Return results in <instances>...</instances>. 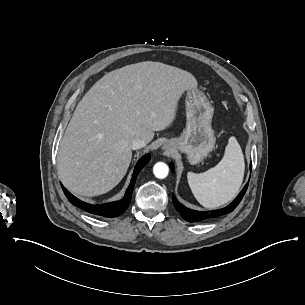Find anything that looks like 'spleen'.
Wrapping results in <instances>:
<instances>
[{
	"label": "spleen",
	"instance_id": "spleen-1",
	"mask_svg": "<svg viewBox=\"0 0 305 305\" xmlns=\"http://www.w3.org/2000/svg\"><path fill=\"white\" fill-rule=\"evenodd\" d=\"M244 172L241 149L230 137L220 162L209 170L197 174L187 173L190 189L196 200L207 208H215L230 201L239 191Z\"/></svg>",
	"mask_w": 305,
	"mask_h": 305
}]
</instances>
